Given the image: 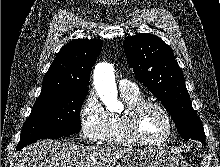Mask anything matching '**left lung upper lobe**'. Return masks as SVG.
<instances>
[{"instance_id": "5c2ea615", "label": "left lung upper lobe", "mask_w": 220, "mask_h": 167, "mask_svg": "<svg viewBox=\"0 0 220 167\" xmlns=\"http://www.w3.org/2000/svg\"><path fill=\"white\" fill-rule=\"evenodd\" d=\"M123 46L136 79L161 101L181 137L204 143L201 120L192 108L183 72L171 48L159 37L148 33L127 37Z\"/></svg>"}]
</instances>
